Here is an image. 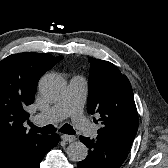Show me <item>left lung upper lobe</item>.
I'll use <instances>...</instances> for the list:
<instances>
[{"label": "left lung upper lobe", "mask_w": 168, "mask_h": 168, "mask_svg": "<svg viewBox=\"0 0 168 168\" xmlns=\"http://www.w3.org/2000/svg\"><path fill=\"white\" fill-rule=\"evenodd\" d=\"M89 62L87 111L101 116L98 135L130 148L139 123L131 84L114 64L96 58H89Z\"/></svg>", "instance_id": "left-lung-upper-lobe-1"}]
</instances>
